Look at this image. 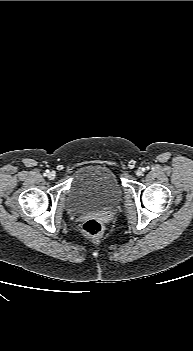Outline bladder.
<instances>
[{"mask_svg":"<svg viewBox=\"0 0 193 351\" xmlns=\"http://www.w3.org/2000/svg\"><path fill=\"white\" fill-rule=\"evenodd\" d=\"M120 196L121 188L114 173L104 165L91 164L75 175L68 208L77 213L99 211L115 204Z\"/></svg>","mask_w":193,"mask_h":351,"instance_id":"1","label":"bladder"}]
</instances>
